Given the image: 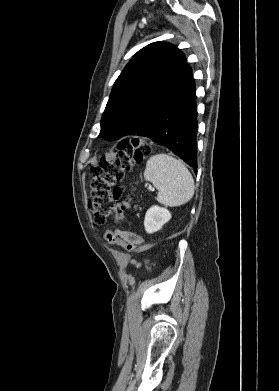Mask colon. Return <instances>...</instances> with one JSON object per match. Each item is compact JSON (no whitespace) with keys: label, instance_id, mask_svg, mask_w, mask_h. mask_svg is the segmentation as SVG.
<instances>
[{"label":"colon","instance_id":"colon-1","mask_svg":"<svg viewBox=\"0 0 279 391\" xmlns=\"http://www.w3.org/2000/svg\"><path fill=\"white\" fill-rule=\"evenodd\" d=\"M150 150V145L142 139H126L118 144L111 158H103L98 165L91 168L89 208L96 224H103L110 217H114L116 222L124 219V208L117 204L124 190L118 183L134 165L148 157ZM104 237L108 242L117 243L128 251L137 248V245L117 237L111 231H106ZM146 263L151 270L152 264L148 260Z\"/></svg>","mask_w":279,"mask_h":391}]
</instances>
